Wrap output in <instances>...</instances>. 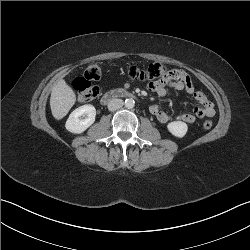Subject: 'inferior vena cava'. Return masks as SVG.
Masks as SVG:
<instances>
[{"label":"inferior vena cava","mask_w":250,"mask_h":250,"mask_svg":"<svg viewBox=\"0 0 250 250\" xmlns=\"http://www.w3.org/2000/svg\"><path fill=\"white\" fill-rule=\"evenodd\" d=\"M124 102L122 99H112L108 103V110L109 111H115L117 109H120L123 106Z\"/></svg>","instance_id":"obj_1"}]
</instances>
